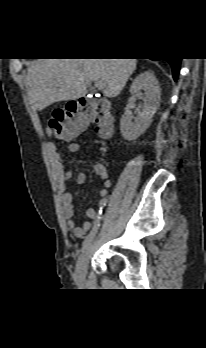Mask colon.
I'll return each instance as SVG.
<instances>
[{"label":"colon","instance_id":"5ec220e1","mask_svg":"<svg viewBox=\"0 0 206 348\" xmlns=\"http://www.w3.org/2000/svg\"><path fill=\"white\" fill-rule=\"evenodd\" d=\"M89 124H95L100 135L106 137L112 130V114L106 103L82 97L54 110L49 119V130L54 140L68 141Z\"/></svg>","mask_w":206,"mask_h":348}]
</instances>
